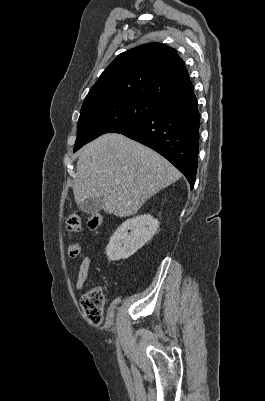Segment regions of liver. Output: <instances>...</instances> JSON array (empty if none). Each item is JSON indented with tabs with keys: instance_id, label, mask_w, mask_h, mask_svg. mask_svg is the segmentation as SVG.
Instances as JSON below:
<instances>
[{
	"instance_id": "liver-1",
	"label": "liver",
	"mask_w": 265,
	"mask_h": 401,
	"mask_svg": "<svg viewBox=\"0 0 265 401\" xmlns=\"http://www.w3.org/2000/svg\"><path fill=\"white\" fill-rule=\"evenodd\" d=\"M76 168L75 203L103 196L105 213L116 217L136 215L150 196L182 176L161 154L117 132L85 144Z\"/></svg>"
}]
</instances>
